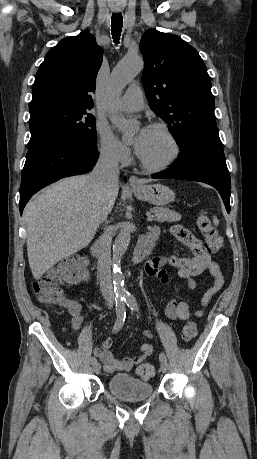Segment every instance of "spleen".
<instances>
[{"label": "spleen", "instance_id": "obj_1", "mask_svg": "<svg viewBox=\"0 0 257 459\" xmlns=\"http://www.w3.org/2000/svg\"><path fill=\"white\" fill-rule=\"evenodd\" d=\"M213 223L215 226H217L219 224V220L216 216L213 217Z\"/></svg>", "mask_w": 257, "mask_h": 459}]
</instances>
